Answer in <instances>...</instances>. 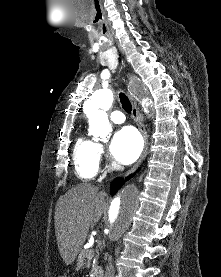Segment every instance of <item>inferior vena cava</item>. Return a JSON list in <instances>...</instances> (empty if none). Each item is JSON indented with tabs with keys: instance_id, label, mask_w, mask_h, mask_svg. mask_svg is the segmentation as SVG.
Returning a JSON list of instances; mask_svg holds the SVG:
<instances>
[{
	"instance_id": "602c4592",
	"label": "inferior vena cava",
	"mask_w": 221,
	"mask_h": 277,
	"mask_svg": "<svg viewBox=\"0 0 221 277\" xmlns=\"http://www.w3.org/2000/svg\"><path fill=\"white\" fill-rule=\"evenodd\" d=\"M114 267L111 262H108L106 266L105 277H115Z\"/></svg>"
}]
</instances>
